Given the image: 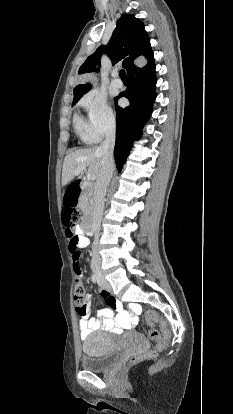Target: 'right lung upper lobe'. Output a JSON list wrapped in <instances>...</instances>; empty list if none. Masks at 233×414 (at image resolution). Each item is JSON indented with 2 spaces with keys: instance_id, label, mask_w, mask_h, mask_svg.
Listing matches in <instances>:
<instances>
[{
  "instance_id": "1",
  "label": "right lung upper lobe",
  "mask_w": 233,
  "mask_h": 414,
  "mask_svg": "<svg viewBox=\"0 0 233 414\" xmlns=\"http://www.w3.org/2000/svg\"><path fill=\"white\" fill-rule=\"evenodd\" d=\"M103 52L112 64L122 62L129 77L143 73L153 66L154 56L144 24L134 15L125 14L117 21L116 28L106 47L100 46L90 55L79 69V74L99 71ZM91 88L90 84H80L74 88V100H79Z\"/></svg>"
}]
</instances>
